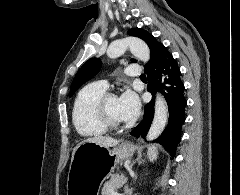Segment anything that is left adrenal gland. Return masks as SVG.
I'll return each mask as SVG.
<instances>
[{"label":"left adrenal gland","instance_id":"obj_1","mask_svg":"<svg viewBox=\"0 0 240 195\" xmlns=\"http://www.w3.org/2000/svg\"><path fill=\"white\" fill-rule=\"evenodd\" d=\"M135 179H137V171H136Z\"/></svg>","mask_w":240,"mask_h":195}]
</instances>
